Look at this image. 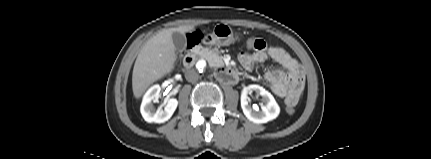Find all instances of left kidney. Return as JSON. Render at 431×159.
<instances>
[{"mask_svg":"<svg viewBox=\"0 0 431 159\" xmlns=\"http://www.w3.org/2000/svg\"><path fill=\"white\" fill-rule=\"evenodd\" d=\"M255 91L257 95L262 97L261 110H258L249 105L248 94ZM241 108L248 120L262 124L275 119L280 113V107L274 97L259 85H250L245 87L241 93Z\"/></svg>","mask_w":431,"mask_h":159,"instance_id":"left-kidney-1","label":"left kidney"}]
</instances>
